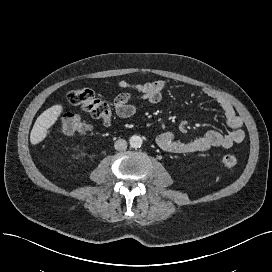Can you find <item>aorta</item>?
<instances>
[{
    "instance_id": "aorta-1",
    "label": "aorta",
    "mask_w": 272,
    "mask_h": 272,
    "mask_svg": "<svg viewBox=\"0 0 272 272\" xmlns=\"http://www.w3.org/2000/svg\"><path fill=\"white\" fill-rule=\"evenodd\" d=\"M143 140L139 135H133L129 139V144L132 148H140L142 146Z\"/></svg>"
}]
</instances>
